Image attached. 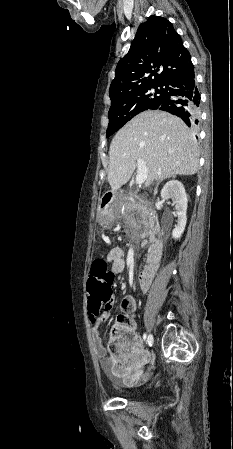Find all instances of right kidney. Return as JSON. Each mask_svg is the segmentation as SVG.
Masks as SVG:
<instances>
[{
  "label": "right kidney",
  "instance_id": "obj_1",
  "mask_svg": "<svg viewBox=\"0 0 233 449\" xmlns=\"http://www.w3.org/2000/svg\"><path fill=\"white\" fill-rule=\"evenodd\" d=\"M161 197L164 200L172 199L173 201L172 205L175 207L176 215L178 218L176 221L177 225L172 231V237L174 239H178L184 232L187 222L186 211L188 199L185 188L183 184L178 180L169 181L164 185L161 191Z\"/></svg>",
  "mask_w": 233,
  "mask_h": 449
}]
</instances>
